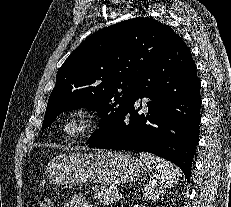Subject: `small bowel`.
<instances>
[{
	"label": "small bowel",
	"instance_id": "small-bowel-1",
	"mask_svg": "<svg viewBox=\"0 0 231 207\" xmlns=\"http://www.w3.org/2000/svg\"><path fill=\"white\" fill-rule=\"evenodd\" d=\"M63 207H96L91 204L84 196L75 194L68 199Z\"/></svg>",
	"mask_w": 231,
	"mask_h": 207
}]
</instances>
